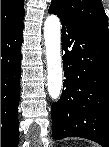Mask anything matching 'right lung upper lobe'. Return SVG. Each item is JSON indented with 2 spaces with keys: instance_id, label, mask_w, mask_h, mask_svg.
<instances>
[{
  "instance_id": "right-lung-upper-lobe-1",
  "label": "right lung upper lobe",
  "mask_w": 109,
  "mask_h": 147,
  "mask_svg": "<svg viewBox=\"0 0 109 147\" xmlns=\"http://www.w3.org/2000/svg\"><path fill=\"white\" fill-rule=\"evenodd\" d=\"M23 0H1V32L15 27L24 18Z\"/></svg>"
}]
</instances>
